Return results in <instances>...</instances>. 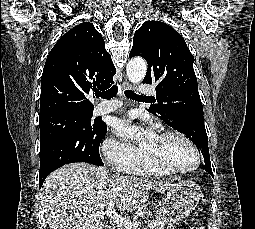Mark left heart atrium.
<instances>
[{
	"instance_id": "1",
	"label": "left heart atrium",
	"mask_w": 255,
	"mask_h": 229,
	"mask_svg": "<svg viewBox=\"0 0 255 229\" xmlns=\"http://www.w3.org/2000/svg\"><path fill=\"white\" fill-rule=\"evenodd\" d=\"M135 114H129L126 118L116 119L113 124L114 132L125 139H132L138 131H142L145 135V140L150 142L154 140L157 135L152 126H142L134 123Z\"/></svg>"
}]
</instances>
